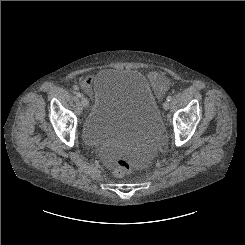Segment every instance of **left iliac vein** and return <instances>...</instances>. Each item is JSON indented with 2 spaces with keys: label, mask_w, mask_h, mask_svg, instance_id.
I'll return each mask as SVG.
<instances>
[{
  "label": "left iliac vein",
  "mask_w": 245,
  "mask_h": 245,
  "mask_svg": "<svg viewBox=\"0 0 245 245\" xmlns=\"http://www.w3.org/2000/svg\"><path fill=\"white\" fill-rule=\"evenodd\" d=\"M169 107H170L169 102H168V101H165V102L163 103V108H164V110H168Z\"/></svg>",
  "instance_id": "1"
}]
</instances>
